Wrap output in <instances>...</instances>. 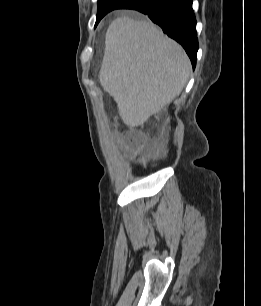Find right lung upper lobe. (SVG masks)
<instances>
[{
	"label": "right lung upper lobe",
	"mask_w": 261,
	"mask_h": 306,
	"mask_svg": "<svg viewBox=\"0 0 261 306\" xmlns=\"http://www.w3.org/2000/svg\"><path fill=\"white\" fill-rule=\"evenodd\" d=\"M103 1H107V0H98V3H99V2H103Z\"/></svg>",
	"instance_id": "right-lung-upper-lobe-1"
}]
</instances>
